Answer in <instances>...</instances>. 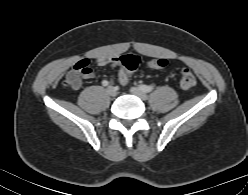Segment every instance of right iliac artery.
<instances>
[{"label": "right iliac artery", "mask_w": 248, "mask_h": 195, "mask_svg": "<svg viewBox=\"0 0 248 195\" xmlns=\"http://www.w3.org/2000/svg\"><path fill=\"white\" fill-rule=\"evenodd\" d=\"M109 82L107 80L102 81L103 86H108Z\"/></svg>", "instance_id": "right-iliac-artery-1"}]
</instances>
